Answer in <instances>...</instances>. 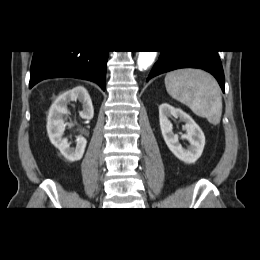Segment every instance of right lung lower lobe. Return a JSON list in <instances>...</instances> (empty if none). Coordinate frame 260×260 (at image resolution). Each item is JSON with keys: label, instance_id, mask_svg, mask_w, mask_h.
I'll list each match as a JSON object with an SVG mask.
<instances>
[{"label": "right lung lower lobe", "instance_id": "right-lung-lower-lobe-1", "mask_svg": "<svg viewBox=\"0 0 260 260\" xmlns=\"http://www.w3.org/2000/svg\"><path fill=\"white\" fill-rule=\"evenodd\" d=\"M109 51H35L30 69L29 88L38 82L73 77L97 83L105 90Z\"/></svg>", "mask_w": 260, "mask_h": 260}]
</instances>
